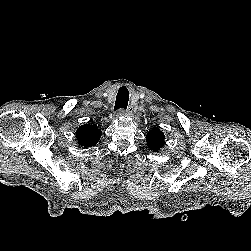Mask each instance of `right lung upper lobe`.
Instances as JSON below:
<instances>
[{
    "mask_svg": "<svg viewBox=\"0 0 251 251\" xmlns=\"http://www.w3.org/2000/svg\"><path fill=\"white\" fill-rule=\"evenodd\" d=\"M101 133V130L96 126L84 124L77 129L76 139L80 146L88 148L97 144Z\"/></svg>",
    "mask_w": 251,
    "mask_h": 251,
    "instance_id": "1",
    "label": "right lung upper lobe"
}]
</instances>
